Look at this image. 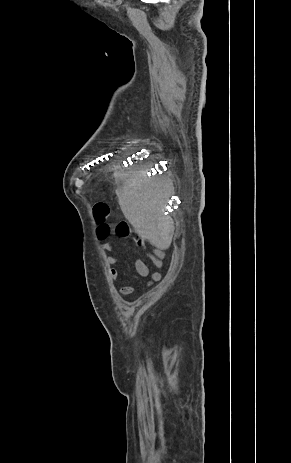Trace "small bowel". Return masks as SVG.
I'll use <instances>...</instances> for the list:
<instances>
[{
    "label": "small bowel",
    "instance_id": "1",
    "mask_svg": "<svg viewBox=\"0 0 291 463\" xmlns=\"http://www.w3.org/2000/svg\"><path fill=\"white\" fill-rule=\"evenodd\" d=\"M137 239H138L137 243L145 249L148 257L151 259L154 266L157 269H160L163 265V261L161 257L159 256V254L151 250H148L144 242L139 238ZM103 248L105 251H108V252H111L113 250L112 246L109 243H105L103 245ZM106 263L109 265V276L114 280L118 279L119 270L117 266L119 264V260L115 256L110 255L106 257ZM135 269H136L137 274L142 278H147L150 274L149 267L142 259L136 260ZM160 279H161V273L158 270L153 271L151 273V280L148 282V286L152 285L155 282H158ZM119 291L122 295L128 296V295L135 293L137 291V287L126 285V286H122Z\"/></svg>",
    "mask_w": 291,
    "mask_h": 463
}]
</instances>
